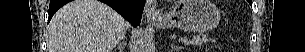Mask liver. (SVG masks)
I'll use <instances>...</instances> for the list:
<instances>
[{
	"label": "liver",
	"instance_id": "6515ba94",
	"mask_svg": "<svg viewBox=\"0 0 305 52\" xmlns=\"http://www.w3.org/2000/svg\"><path fill=\"white\" fill-rule=\"evenodd\" d=\"M127 22L97 0H74L59 9L48 27V52H111Z\"/></svg>",
	"mask_w": 305,
	"mask_h": 52
}]
</instances>
